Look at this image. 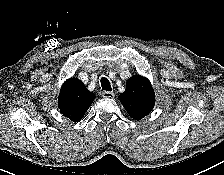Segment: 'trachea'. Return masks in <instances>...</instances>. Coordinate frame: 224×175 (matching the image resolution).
<instances>
[{
    "label": "trachea",
    "instance_id": "trachea-1",
    "mask_svg": "<svg viewBox=\"0 0 224 175\" xmlns=\"http://www.w3.org/2000/svg\"><path fill=\"white\" fill-rule=\"evenodd\" d=\"M100 82H101V86H102L103 90L112 91L111 84L107 78H105V77L101 78Z\"/></svg>",
    "mask_w": 224,
    "mask_h": 175
}]
</instances>
